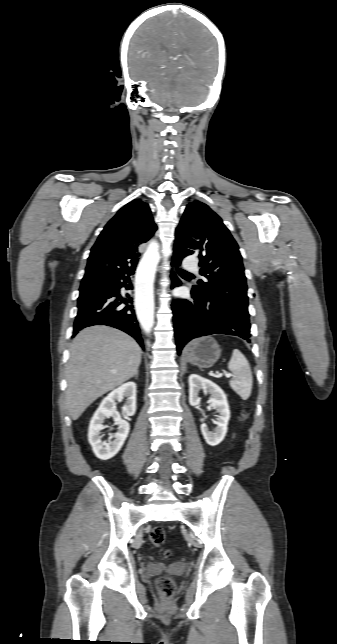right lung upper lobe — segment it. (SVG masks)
I'll return each instance as SVG.
<instances>
[{
  "label": "right lung upper lobe",
  "mask_w": 337,
  "mask_h": 644,
  "mask_svg": "<svg viewBox=\"0 0 337 644\" xmlns=\"http://www.w3.org/2000/svg\"><path fill=\"white\" fill-rule=\"evenodd\" d=\"M157 227L147 203L134 200L106 224L91 249L81 283L109 280L138 263V246L147 242Z\"/></svg>",
  "instance_id": "cb5924a9"
}]
</instances>
